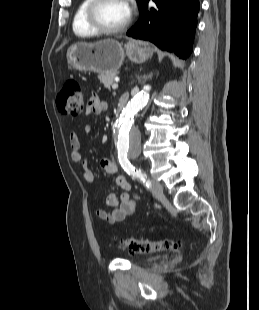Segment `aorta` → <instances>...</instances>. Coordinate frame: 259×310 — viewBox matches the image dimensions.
<instances>
[{
    "mask_svg": "<svg viewBox=\"0 0 259 310\" xmlns=\"http://www.w3.org/2000/svg\"><path fill=\"white\" fill-rule=\"evenodd\" d=\"M149 86H145L122 110L116 125V148L126 158H136L141 151V134L134 125L135 115L145 107L149 99Z\"/></svg>",
    "mask_w": 259,
    "mask_h": 310,
    "instance_id": "762f6f07",
    "label": "aorta"
}]
</instances>
